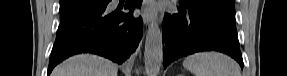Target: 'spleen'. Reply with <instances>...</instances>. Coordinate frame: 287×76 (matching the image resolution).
<instances>
[{"mask_svg": "<svg viewBox=\"0 0 287 76\" xmlns=\"http://www.w3.org/2000/svg\"><path fill=\"white\" fill-rule=\"evenodd\" d=\"M183 66L195 76H241L238 64L217 52L190 55L183 61Z\"/></svg>", "mask_w": 287, "mask_h": 76, "instance_id": "1", "label": "spleen"}]
</instances>
